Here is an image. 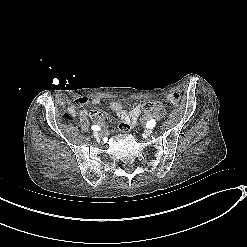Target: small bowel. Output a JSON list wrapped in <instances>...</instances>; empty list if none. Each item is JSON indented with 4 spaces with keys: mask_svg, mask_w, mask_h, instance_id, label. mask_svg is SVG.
<instances>
[{
    "mask_svg": "<svg viewBox=\"0 0 247 247\" xmlns=\"http://www.w3.org/2000/svg\"><path fill=\"white\" fill-rule=\"evenodd\" d=\"M179 99L180 97L178 93H171L168 96V101L173 105L178 104ZM88 103L98 106L101 104V99L99 97H93L91 99L85 96L78 97L75 100L74 105L69 107V114L72 116H80L82 118L91 117L98 122L103 121L104 116L100 112L79 109ZM109 108L116 113L120 121V130L124 133L135 127L139 119H141L143 122H147L153 118L159 119L163 115V109L161 107L156 108L154 112H146L143 114L142 107L140 105L135 106L130 111H127L118 101L111 102L109 104Z\"/></svg>",
    "mask_w": 247,
    "mask_h": 247,
    "instance_id": "obj_1",
    "label": "small bowel"
}]
</instances>
